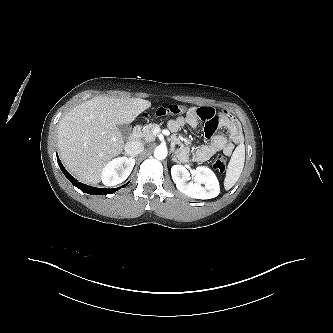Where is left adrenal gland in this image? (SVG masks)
<instances>
[{"label":"left adrenal gland","mask_w":333,"mask_h":333,"mask_svg":"<svg viewBox=\"0 0 333 333\" xmlns=\"http://www.w3.org/2000/svg\"><path fill=\"white\" fill-rule=\"evenodd\" d=\"M174 162H176V163H180L178 160H177V158L175 157V156H173V159H172Z\"/></svg>","instance_id":"a2214340"}]
</instances>
